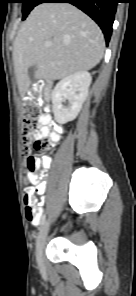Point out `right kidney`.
<instances>
[{
    "mask_svg": "<svg viewBox=\"0 0 136 296\" xmlns=\"http://www.w3.org/2000/svg\"><path fill=\"white\" fill-rule=\"evenodd\" d=\"M92 77L87 71H80L59 81L52 91L55 120L65 124L76 118L88 96ZM68 101V105L63 103Z\"/></svg>",
    "mask_w": 136,
    "mask_h": 296,
    "instance_id": "ca27d5eb",
    "label": "right kidney"
}]
</instances>
